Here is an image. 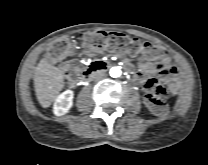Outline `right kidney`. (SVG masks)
Segmentation results:
<instances>
[{
	"instance_id": "obj_1",
	"label": "right kidney",
	"mask_w": 208,
	"mask_h": 165,
	"mask_svg": "<svg viewBox=\"0 0 208 165\" xmlns=\"http://www.w3.org/2000/svg\"><path fill=\"white\" fill-rule=\"evenodd\" d=\"M73 97L74 93L71 90H66L58 95L53 106V113L56 116L66 114L73 105Z\"/></svg>"
}]
</instances>
